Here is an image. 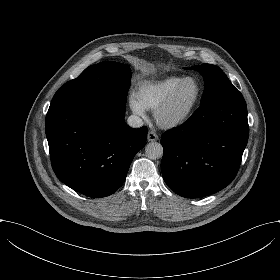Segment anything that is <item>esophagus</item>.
Masks as SVG:
<instances>
[{"label":"esophagus","instance_id":"34e87169","mask_svg":"<svg viewBox=\"0 0 280 280\" xmlns=\"http://www.w3.org/2000/svg\"><path fill=\"white\" fill-rule=\"evenodd\" d=\"M147 140L149 142L157 141L158 135L154 131H149L147 134Z\"/></svg>","mask_w":280,"mask_h":280}]
</instances>
